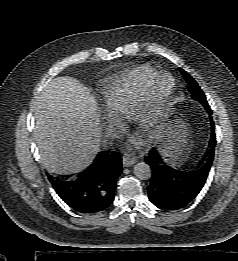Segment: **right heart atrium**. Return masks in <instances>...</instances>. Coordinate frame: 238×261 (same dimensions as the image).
<instances>
[{
    "label": "right heart atrium",
    "instance_id": "right-heart-atrium-1",
    "mask_svg": "<svg viewBox=\"0 0 238 261\" xmlns=\"http://www.w3.org/2000/svg\"><path fill=\"white\" fill-rule=\"evenodd\" d=\"M106 124L112 130L119 129L123 125V119L119 114L108 112L105 117Z\"/></svg>",
    "mask_w": 238,
    "mask_h": 261
}]
</instances>
